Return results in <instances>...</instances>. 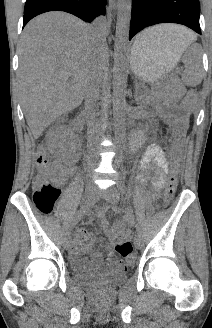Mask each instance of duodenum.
Here are the masks:
<instances>
[{
    "mask_svg": "<svg viewBox=\"0 0 212 328\" xmlns=\"http://www.w3.org/2000/svg\"><path fill=\"white\" fill-rule=\"evenodd\" d=\"M140 141V138L139 137H137L136 139H135V143H138Z\"/></svg>",
    "mask_w": 212,
    "mask_h": 328,
    "instance_id": "1",
    "label": "duodenum"
}]
</instances>
